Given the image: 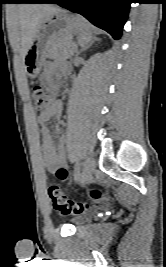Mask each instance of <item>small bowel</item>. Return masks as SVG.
<instances>
[{"instance_id": "small-bowel-1", "label": "small bowel", "mask_w": 166, "mask_h": 267, "mask_svg": "<svg viewBox=\"0 0 166 267\" xmlns=\"http://www.w3.org/2000/svg\"><path fill=\"white\" fill-rule=\"evenodd\" d=\"M68 69L64 65L54 62H48L45 65L41 81L47 87L56 89L59 85V72H66ZM62 113V103L55 102L50 108L41 112L37 117L39 132L41 136L42 153L45 167L48 171L55 173L59 178L64 179L66 176L65 147L63 139H59L56 145L51 130L47 122L52 118L60 119ZM61 122L56 126V132L60 131Z\"/></svg>"}]
</instances>
